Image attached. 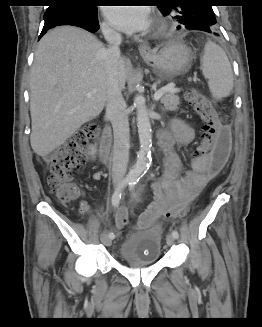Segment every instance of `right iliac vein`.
I'll return each mask as SVG.
<instances>
[{
  "label": "right iliac vein",
  "instance_id": "obj_1",
  "mask_svg": "<svg viewBox=\"0 0 262 327\" xmlns=\"http://www.w3.org/2000/svg\"><path fill=\"white\" fill-rule=\"evenodd\" d=\"M101 241L106 246H111L112 244V239L106 233L101 235Z\"/></svg>",
  "mask_w": 262,
  "mask_h": 327
}]
</instances>
